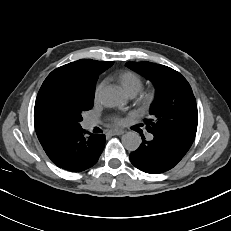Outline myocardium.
Returning <instances> with one entry per match:
<instances>
[{
	"instance_id": "myocardium-1",
	"label": "myocardium",
	"mask_w": 231,
	"mask_h": 231,
	"mask_svg": "<svg viewBox=\"0 0 231 231\" xmlns=\"http://www.w3.org/2000/svg\"><path fill=\"white\" fill-rule=\"evenodd\" d=\"M158 92L155 88H148L140 91L137 97V103L140 107L149 108L156 100Z\"/></svg>"
}]
</instances>
